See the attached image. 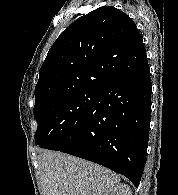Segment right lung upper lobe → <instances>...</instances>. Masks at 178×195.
I'll list each match as a JSON object with an SVG mask.
<instances>
[{
    "label": "right lung upper lobe",
    "mask_w": 178,
    "mask_h": 195,
    "mask_svg": "<svg viewBox=\"0 0 178 195\" xmlns=\"http://www.w3.org/2000/svg\"><path fill=\"white\" fill-rule=\"evenodd\" d=\"M147 63L132 19L115 7H100L68 26L50 48L35 87V106L77 90L98 91Z\"/></svg>",
    "instance_id": "cb5924a9"
}]
</instances>
